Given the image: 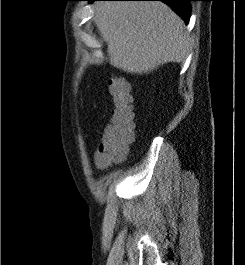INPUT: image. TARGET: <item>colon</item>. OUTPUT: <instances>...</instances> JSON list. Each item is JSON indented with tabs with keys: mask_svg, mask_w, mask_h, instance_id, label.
<instances>
[{
	"mask_svg": "<svg viewBox=\"0 0 245 265\" xmlns=\"http://www.w3.org/2000/svg\"><path fill=\"white\" fill-rule=\"evenodd\" d=\"M108 92L113 109L95 154L105 166L122 161L134 140L133 99L128 83L122 77L113 75L109 78Z\"/></svg>",
	"mask_w": 245,
	"mask_h": 265,
	"instance_id": "5ec220e1",
	"label": "colon"
}]
</instances>
